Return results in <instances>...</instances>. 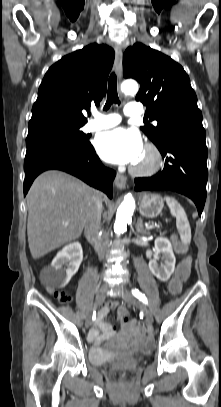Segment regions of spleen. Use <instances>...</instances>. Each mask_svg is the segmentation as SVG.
I'll return each mask as SVG.
<instances>
[{
  "instance_id": "3e777b00",
  "label": "spleen",
  "mask_w": 221,
  "mask_h": 407,
  "mask_svg": "<svg viewBox=\"0 0 221 407\" xmlns=\"http://www.w3.org/2000/svg\"><path fill=\"white\" fill-rule=\"evenodd\" d=\"M165 200L171 214L176 217V227L180 233L181 241L184 244H189L191 242V228L184 209L173 197L166 196Z\"/></svg>"
}]
</instances>
